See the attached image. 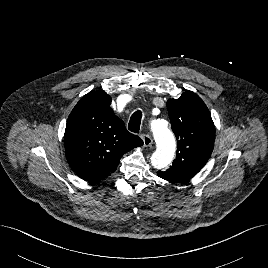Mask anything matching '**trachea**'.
<instances>
[{"label": "trachea", "instance_id": "1", "mask_svg": "<svg viewBox=\"0 0 268 268\" xmlns=\"http://www.w3.org/2000/svg\"><path fill=\"white\" fill-rule=\"evenodd\" d=\"M141 118H142V112L141 111H136L132 114L129 124H128V129L133 132V133H139L140 131V124H141Z\"/></svg>", "mask_w": 268, "mask_h": 268}]
</instances>
